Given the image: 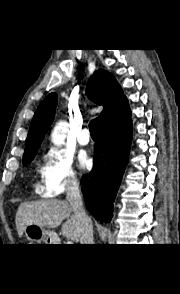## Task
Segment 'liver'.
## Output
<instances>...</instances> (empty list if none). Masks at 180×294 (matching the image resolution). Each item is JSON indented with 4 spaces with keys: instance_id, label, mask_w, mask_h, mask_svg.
Listing matches in <instances>:
<instances>
[{
    "instance_id": "obj_1",
    "label": "liver",
    "mask_w": 180,
    "mask_h": 294,
    "mask_svg": "<svg viewBox=\"0 0 180 294\" xmlns=\"http://www.w3.org/2000/svg\"><path fill=\"white\" fill-rule=\"evenodd\" d=\"M62 234L75 242L79 241L80 233L76 217L69 202L63 200H41L23 202L18 207L15 223L19 237H22L25 227L37 224L42 227L56 228L63 220Z\"/></svg>"
}]
</instances>
